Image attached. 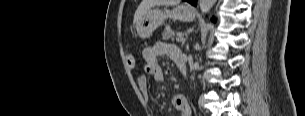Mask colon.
Listing matches in <instances>:
<instances>
[{
  "label": "colon",
  "instance_id": "obj_1",
  "mask_svg": "<svg viewBox=\"0 0 305 116\" xmlns=\"http://www.w3.org/2000/svg\"><path fill=\"white\" fill-rule=\"evenodd\" d=\"M126 60H127V65L130 69H133L135 66V61H134V57L131 53H127L126 55Z\"/></svg>",
  "mask_w": 305,
  "mask_h": 116
}]
</instances>
